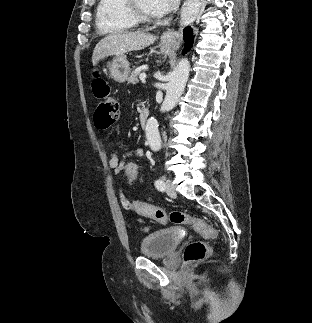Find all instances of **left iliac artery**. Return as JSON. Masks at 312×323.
<instances>
[{
  "instance_id": "1",
  "label": "left iliac artery",
  "mask_w": 312,
  "mask_h": 323,
  "mask_svg": "<svg viewBox=\"0 0 312 323\" xmlns=\"http://www.w3.org/2000/svg\"><path fill=\"white\" fill-rule=\"evenodd\" d=\"M155 187L158 189V190H164L165 189V184H164V182H163V180L162 179H157L156 181H155Z\"/></svg>"
}]
</instances>
